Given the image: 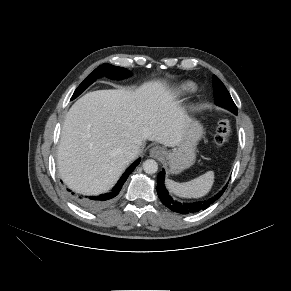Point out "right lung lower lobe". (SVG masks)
<instances>
[{
	"mask_svg": "<svg viewBox=\"0 0 291 291\" xmlns=\"http://www.w3.org/2000/svg\"><path fill=\"white\" fill-rule=\"evenodd\" d=\"M140 163V159L135 161L125 173L122 175L118 183L115 187L108 193L102 194L99 196H83V195H75L73 192L72 194L75 196V199L84 207L91 209V210H99L105 208L112 204L116 198L118 197L124 182L127 180L128 176L133 172L136 166ZM70 191V190H69Z\"/></svg>",
	"mask_w": 291,
	"mask_h": 291,
	"instance_id": "obj_1",
	"label": "right lung lower lobe"
}]
</instances>
